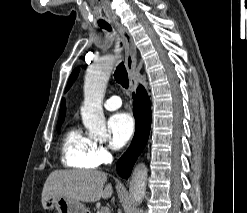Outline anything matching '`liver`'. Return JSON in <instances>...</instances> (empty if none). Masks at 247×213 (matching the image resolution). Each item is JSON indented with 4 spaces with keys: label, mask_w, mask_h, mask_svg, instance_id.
Masks as SVG:
<instances>
[{
    "label": "liver",
    "mask_w": 247,
    "mask_h": 213,
    "mask_svg": "<svg viewBox=\"0 0 247 213\" xmlns=\"http://www.w3.org/2000/svg\"><path fill=\"white\" fill-rule=\"evenodd\" d=\"M107 174L97 170H55L42 190V204L50 196H63L81 202H97L113 194L112 185L105 187Z\"/></svg>",
    "instance_id": "liver-1"
}]
</instances>
